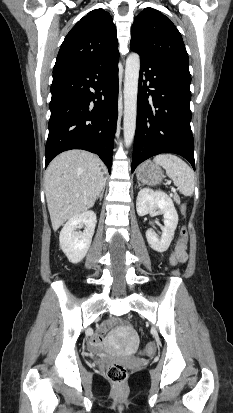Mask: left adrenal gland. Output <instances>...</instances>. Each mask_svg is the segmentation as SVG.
<instances>
[{"mask_svg":"<svg viewBox=\"0 0 233 413\" xmlns=\"http://www.w3.org/2000/svg\"><path fill=\"white\" fill-rule=\"evenodd\" d=\"M138 186L140 187L141 186V184L138 182Z\"/></svg>","mask_w":233,"mask_h":413,"instance_id":"obj_1","label":"left adrenal gland"}]
</instances>
